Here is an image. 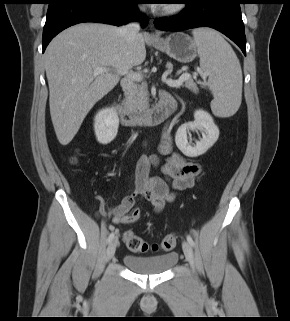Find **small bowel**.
I'll return each mask as SVG.
<instances>
[{
	"label": "small bowel",
	"mask_w": 290,
	"mask_h": 321,
	"mask_svg": "<svg viewBox=\"0 0 290 321\" xmlns=\"http://www.w3.org/2000/svg\"><path fill=\"white\" fill-rule=\"evenodd\" d=\"M167 93H163V96ZM173 135L169 126H166L160 135L159 155L165 156V161L160 164L159 156L143 155L136 164L135 186L132 193L123 198L121 203L112 212L116 222H127L128 212L133 207L137 197L148 200L156 213L162 211L166 202L174 199L173 191H181L192 188L197 182L202 167L200 164L186 160L181 155L172 151ZM152 167H160L164 178L151 177ZM99 215L106 214L100 210Z\"/></svg>",
	"instance_id": "obj_1"
}]
</instances>
